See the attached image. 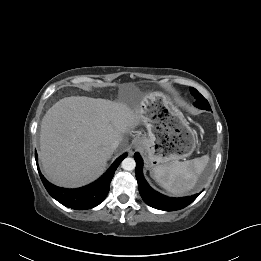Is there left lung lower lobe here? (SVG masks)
<instances>
[{"label": "left lung lower lobe", "instance_id": "left-lung-lower-lobe-1", "mask_svg": "<svg viewBox=\"0 0 261 261\" xmlns=\"http://www.w3.org/2000/svg\"><path fill=\"white\" fill-rule=\"evenodd\" d=\"M134 159L136 161L135 173L138 181L139 192L144 202L149 206L164 211L179 210L191 204L199 196V194H196L190 197L171 198L156 192L148 185L143 177L142 158L138 153H135Z\"/></svg>", "mask_w": 261, "mask_h": 261}]
</instances>
